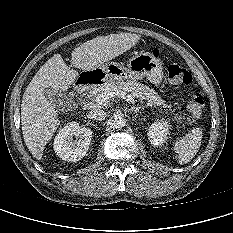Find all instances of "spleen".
Segmentation results:
<instances>
[{
  "instance_id": "spleen-1",
  "label": "spleen",
  "mask_w": 233,
  "mask_h": 233,
  "mask_svg": "<svg viewBox=\"0 0 233 233\" xmlns=\"http://www.w3.org/2000/svg\"><path fill=\"white\" fill-rule=\"evenodd\" d=\"M201 140L202 130L194 128L175 142L174 150L177 154L176 158L179 164H186L192 160L201 146Z\"/></svg>"
}]
</instances>
